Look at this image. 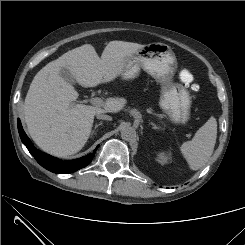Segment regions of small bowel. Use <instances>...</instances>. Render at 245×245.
Masks as SVG:
<instances>
[{
    "mask_svg": "<svg viewBox=\"0 0 245 245\" xmlns=\"http://www.w3.org/2000/svg\"><path fill=\"white\" fill-rule=\"evenodd\" d=\"M179 78L184 83H190L192 81V74L188 70L183 69L179 72Z\"/></svg>",
    "mask_w": 245,
    "mask_h": 245,
    "instance_id": "obj_1",
    "label": "small bowel"
}]
</instances>
